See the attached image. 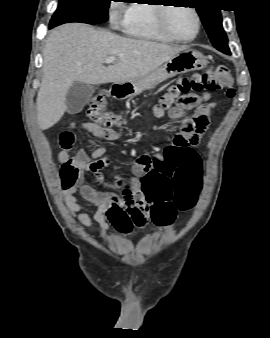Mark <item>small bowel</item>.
I'll return each instance as SVG.
<instances>
[{"mask_svg":"<svg viewBox=\"0 0 270 338\" xmlns=\"http://www.w3.org/2000/svg\"><path fill=\"white\" fill-rule=\"evenodd\" d=\"M188 97L189 95L181 99L177 106L180 108L189 107L190 105L185 102ZM202 101L204 105L203 114L208 119L214 113L216 105L209 93L202 94ZM79 129L91 134L99 142V145L90 154L82 149L74 151V141L76 139L74 131ZM182 135L185 137L186 143L171 148L162 161H152L148 156H139L137 158L140 160V164H135L134 167L137 172L144 174L142 169L150 167L147 172L148 185L149 191L156 198L155 203L174 206L173 195L177 186L186 187L191 177L200 171L199 156L191 143V133L185 128ZM118 138V134L113 129L104 128L92 122H83L79 125L71 123L69 129L63 131L60 135L61 151L59 152V159L64 163L70 160L76 161L82 172H91L96 181H102L101 171L109 163L107 157H105L103 142L117 140ZM128 194L129 189L127 188L124 190L123 196L127 197ZM76 195H80L87 203L96 208L93 218L90 217L85 206L77 201ZM119 200L114 194L99 190L93 186L86 179L84 173H81L74 186L68 188L64 193V203L70 213L78 217L80 225L89 227L93 219L98 224L103 239L109 235L112 210L119 208ZM176 212L177 210L174 211L169 222L161 224H170L174 220ZM146 218L147 216L140 214L134 224L144 226ZM115 228L123 233L128 230L127 228Z\"/></svg>","mask_w":270,"mask_h":338,"instance_id":"c3829d8e","label":"small bowel"}]
</instances>
